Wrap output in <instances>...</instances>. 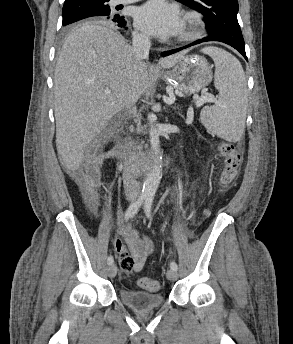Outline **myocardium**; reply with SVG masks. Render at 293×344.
Wrapping results in <instances>:
<instances>
[{"instance_id":"myocardium-1","label":"myocardium","mask_w":293,"mask_h":344,"mask_svg":"<svg viewBox=\"0 0 293 344\" xmlns=\"http://www.w3.org/2000/svg\"><path fill=\"white\" fill-rule=\"evenodd\" d=\"M184 30L179 34L177 41L186 43L201 37L204 31V22L200 14L188 12L184 16Z\"/></svg>"}]
</instances>
